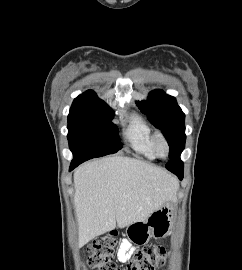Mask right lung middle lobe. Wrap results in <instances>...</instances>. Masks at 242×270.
I'll return each instance as SVG.
<instances>
[{"instance_id": "dd1d6c3e", "label": "right lung middle lobe", "mask_w": 242, "mask_h": 270, "mask_svg": "<svg viewBox=\"0 0 242 270\" xmlns=\"http://www.w3.org/2000/svg\"><path fill=\"white\" fill-rule=\"evenodd\" d=\"M113 111L103 110L92 113H69L68 141L73 153L71 163L117 152L122 148L117 126L111 120Z\"/></svg>"}]
</instances>
